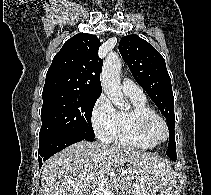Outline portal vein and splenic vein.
<instances>
[{
  "label": "portal vein and splenic vein",
  "mask_w": 211,
  "mask_h": 195,
  "mask_svg": "<svg viewBox=\"0 0 211 195\" xmlns=\"http://www.w3.org/2000/svg\"><path fill=\"white\" fill-rule=\"evenodd\" d=\"M94 193H96V195H114L113 192L109 189H106L103 184L99 185Z\"/></svg>",
  "instance_id": "18ae733b"
}]
</instances>
